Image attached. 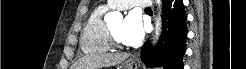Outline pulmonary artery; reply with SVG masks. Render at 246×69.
I'll return each mask as SVG.
<instances>
[{
  "label": "pulmonary artery",
  "mask_w": 246,
  "mask_h": 69,
  "mask_svg": "<svg viewBox=\"0 0 246 69\" xmlns=\"http://www.w3.org/2000/svg\"><path fill=\"white\" fill-rule=\"evenodd\" d=\"M150 1H135V0H109L108 6L113 9H127L132 6L149 7ZM150 8V7H149Z\"/></svg>",
  "instance_id": "1"
}]
</instances>
